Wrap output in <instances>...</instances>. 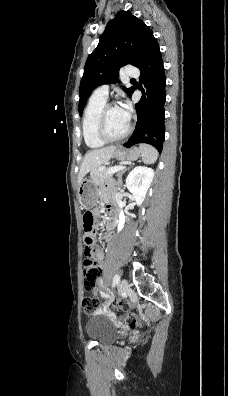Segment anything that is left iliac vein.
I'll return each instance as SVG.
<instances>
[{
  "label": "left iliac vein",
  "instance_id": "obj_1",
  "mask_svg": "<svg viewBox=\"0 0 228 396\" xmlns=\"http://www.w3.org/2000/svg\"><path fill=\"white\" fill-rule=\"evenodd\" d=\"M128 288V281L126 279H122L118 286V292L123 293Z\"/></svg>",
  "mask_w": 228,
  "mask_h": 396
}]
</instances>
